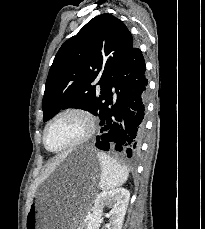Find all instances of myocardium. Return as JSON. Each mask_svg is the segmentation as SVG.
<instances>
[{
  "instance_id": "myocardium-1",
  "label": "myocardium",
  "mask_w": 205,
  "mask_h": 229,
  "mask_svg": "<svg viewBox=\"0 0 205 229\" xmlns=\"http://www.w3.org/2000/svg\"><path fill=\"white\" fill-rule=\"evenodd\" d=\"M67 115H75L83 120L84 125H85L84 133L78 139L69 143L66 146H63L59 149H50L47 145V140H46L47 132L49 128L51 127V125L56 120H58L61 117L67 116ZM94 131H95V119L90 111L82 107H67L59 111L57 114H55L52 117V119L45 126L44 131H43V145L46 148V150H48L49 152H52V153L63 152V151L75 148L77 146H80L83 143L87 142L92 137Z\"/></svg>"
}]
</instances>
